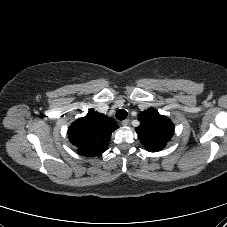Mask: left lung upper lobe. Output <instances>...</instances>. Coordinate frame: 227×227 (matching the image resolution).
Instances as JSON below:
<instances>
[{"instance_id":"left-lung-upper-lobe-1","label":"left lung upper lobe","mask_w":227,"mask_h":227,"mask_svg":"<svg viewBox=\"0 0 227 227\" xmlns=\"http://www.w3.org/2000/svg\"><path fill=\"white\" fill-rule=\"evenodd\" d=\"M140 126L136 128L141 143L150 152L163 149L174 133V124L155 109H148L139 115Z\"/></svg>"}]
</instances>
